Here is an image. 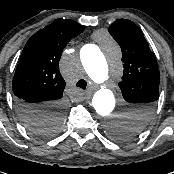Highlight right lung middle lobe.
<instances>
[{
	"instance_id": "right-lung-middle-lobe-1",
	"label": "right lung middle lobe",
	"mask_w": 174,
	"mask_h": 174,
	"mask_svg": "<svg viewBox=\"0 0 174 174\" xmlns=\"http://www.w3.org/2000/svg\"><path fill=\"white\" fill-rule=\"evenodd\" d=\"M62 120L60 112H55L49 121H41L37 123L27 124L28 128L35 134L49 136L58 131V125Z\"/></svg>"
}]
</instances>
